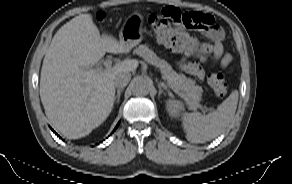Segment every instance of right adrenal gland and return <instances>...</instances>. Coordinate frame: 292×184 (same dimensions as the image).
Wrapping results in <instances>:
<instances>
[{"label": "right adrenal gland", "instance_id": "1", "mask_svg": "<svg viewBox=\"0 0 292 184\" xmlns=\"http://www.w3.org/2000/svg\"><path fill=\"white\" fill-rule=\"evenodd\" d=\"M122 91H123V89H118V90H117V94H116V96H115V98H114V100H115L117 103H119V101H120V96H121Z\"/></svg>", "mask_w": 292, "mask_h": 184}]
</instances>
